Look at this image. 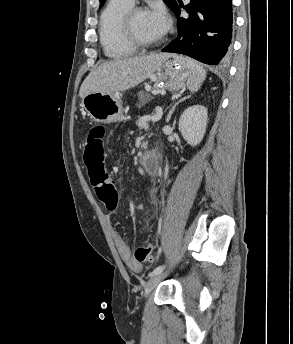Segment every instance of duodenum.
Listing matches in <instances>:
<instances>
[{
  "label": "duodenum",
  "instance_id": "duodenum-1",
  "mask_svg": "<svg viewBox=\"0 0 293 344\" xmlns=\"http://www.w3.org/2000/svg\"><path fill=\"white\" fill-rule=\"evenodd\" d=\"M153 163V165L151 166V168L153 170H157L158 169V166H159V163L157 161H155L153 158H152V153L150 152H144L142 153L140 156H139V164L140 166L142 167H149L150 163Z\"/></svg>",
  "mask_w": 293,
  "mask_h": 344
}]
</instances>
